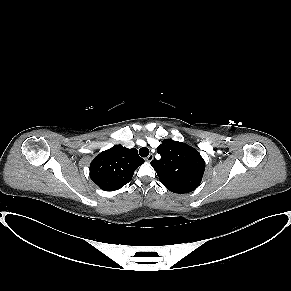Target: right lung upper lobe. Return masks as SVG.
<instances>
[{
    "instance_id": "obj_1",
    "label": "right lung upper lobe",
    "mask_w": 291,
    "mask_h": 291,
    "mask_svg": "<svg viewBox=\"0 0 291 291\" xmlns=\"http://www.w3.org/2000/svg\"><path fill=\"white\" fill-rule=\"evenodd\" d=\"M144 160L137 149L116 145L101 152L90 164L92 181L105 191H115L131 181L135 169Z\"/></svg>"
}]
</instances>
